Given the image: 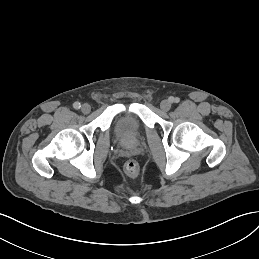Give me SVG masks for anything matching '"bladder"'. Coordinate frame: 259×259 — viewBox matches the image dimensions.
<instances>
[{
    "instance_id": "1",
    "label": "bladder",
    "mask_w": 259,
    "mask_h": 259,
    "mask_svg": "<svg viewBox=\"0 0 259 259\" xmlns=\"http://www.w3.org/2000/svg\"><path fill=\"white\" fill-rule=\"evenodd\" d=\"M140 123L132 113L121 114L115 123V134L124 142H131L140 136Z\"/></svg>"
}]
</instances>
